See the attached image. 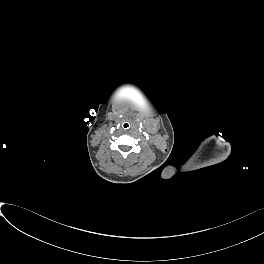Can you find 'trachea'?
<instances>
[{
	"label": "trachea",
	"mask_w": 264,
	"mask_h": 264,
	"mask_svg": "<svg viewBox=\"0 0 264 264\" xmlns=\"http://www.w3.org/2000/svg\"><path fill=\"white\" fill-rule=\"evenodd\" d=\"M130 123L129 122H127V121H125L123 124H122V128L124 129V130H128L129 128H130Z\"/></svg>",
	"instance_id": "obj_1"
}]
</instances>
